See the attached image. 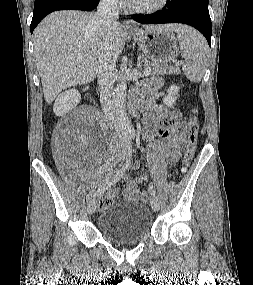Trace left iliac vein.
Wrapping results in <instances>:
<instances>
[{
  "label": "left iliac vein",
  "mask_w": 253,
  "mask_h": 285,
  "mask_svg": "<svg viewBox=\"0 0 253 285\" xmlns=\"http://www.w3.org/2000/svg\"><path fill=\"white\" fill-rule=\"evenodd\" d=\"M150 205L154 211H158L160 209V201L156 196H152L150 200Z\"/></svg>",
  "instance_id": "obj_1"
}]
</instances>
